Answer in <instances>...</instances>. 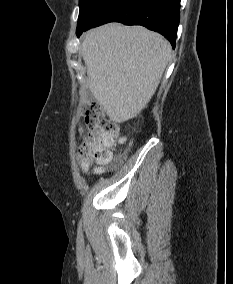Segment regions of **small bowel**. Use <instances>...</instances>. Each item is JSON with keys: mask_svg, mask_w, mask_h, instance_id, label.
<instances>
[{"mask_svg": "<svg viewBox=\"0 0 233 284\" xmlns=\"http://www.w3.org/2000/svg\"><path fill=\"white\" fill-rule=\"evenodd\" d=\"M80 165H81V169H82L83 172H86L91 167V165L87 164L86 162H84L82 160L80 161ZM94 170H95V172L100 173V172L104 171V168L103 167H96Z\"/></svg>", "mask_w": 233, "mask_h": 284, "instance_id": "obj_1", "label": "small bowel"}]
</instances>
